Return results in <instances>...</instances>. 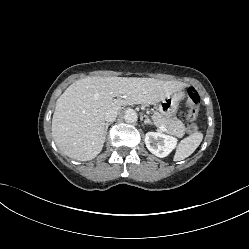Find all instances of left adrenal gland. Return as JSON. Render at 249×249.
<instances>
[{
	"label": "left adrenal gland",
	"instance_id": "1",
	"mask_svg": "<svg viewBox=\"0 0 249 249\" xmlns=\"http://www.w3.org/2000/svg\"><path fill=\"white\" fill-rule=\"evenodd\" d=\"M146 119L144 120L145 124L153 125V123L149 120L148 116H145Z\"/></svg>",
	"mask_w": 249,
	"mask_h": 249
}]
</instances>
